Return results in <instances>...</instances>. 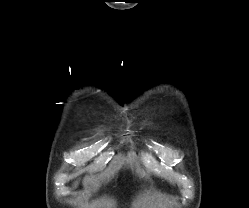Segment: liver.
Segmentation results:
<instances>
[{
    "instance_id": "liver-1",
    "label": "liver",
    "mask_w": 249,
    "mask_h": 208,
    "mask_svg": "<svg viewBox=\"0 0 249 208\" xmlns=\"http://www.w3.org/2000/svg\"><path fill=\"white\" fill-rule=\"evenodd\" d=\"M91 181V177H86L85 179H84V185H86L88 182H90Z\"/></svg>"
}]
</instances>
